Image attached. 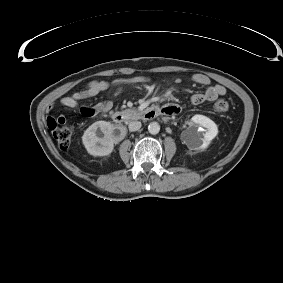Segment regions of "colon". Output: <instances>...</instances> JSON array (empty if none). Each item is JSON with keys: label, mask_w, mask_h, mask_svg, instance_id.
Listing matches in <instances>:
<instances>
[{"label": "colon", "mask_w": 283, "mask_h": 283, "mask_svg": "<svg viewBox=\"0 0 283 283\" xmlns=\"http://www.w3.org/2000/svg\"><path fill=\"white\" fill-rule=\"evenodd\" d=\"M229 108V103L224 99L217 100L213 106L215 113L219 115L226 114L229 111ZM51 130L53 131V136L59 146L67 147L70 145L73 135V131L70 126L56 124L51 128Z\"/></svg>", "instance_id": "colon-1"}]
</instances>
